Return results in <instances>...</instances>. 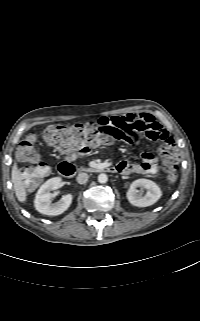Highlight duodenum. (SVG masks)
Returning a JSON list of instances; mask_svg holds the SVG:
<instances>
[{
    "label": "duodenum",
    "instance_id": "1",
    "mask_svg": "<svg viewBox=\"0 0 200 321\" xmlns=\"http://www.w3.org/2000/svg\"><path fill=\"white\" fill-rule=\"evenodd\" d=\"M59 173L63 177H72L76 173V168L73 164L69 162H63L59 165L58 167ZM87 172H95V173H100V172H109V173H115L117 172L115 167L112 166H107V165H96L93 167H89L85 169Z\"/></svg>",
    "mask_w": 200,
    "mask_h": 321
}]
</instances>
